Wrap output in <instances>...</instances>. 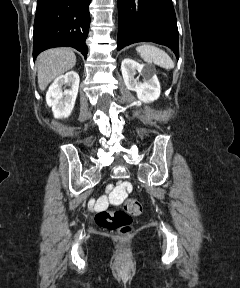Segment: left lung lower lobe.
Segmentation results:
<instances>
[{
  "mask_svg": "<svg viewBox=\"0 0 240 288\" xmlns=\"http://www.w3.org/2000/svg\"><path fill=\"white\" fill-rule=\"evenodd\" d=\"M117 50L136 42L169 47L179 58L178 28L171 0H118Z\"/></svg>",
  "mask_w": 240,
  "mask_h": 288,
  "instance_id": "0a47b994",
  "label": "left lung lower lobe"
}]
</instances>
